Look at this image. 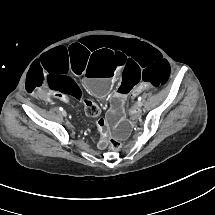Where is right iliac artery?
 <instances>
[{
  "mask_svg": "<svg viewBox=\"0 0 215 215\" xmlns=\"http://www.w3.org/2000/svg\"><path fill=\"white\" fill-rule=\"evenodd\" d=\"M59 110H60V111H63V108H62V107H60V108H59Z\"/></svg>",
  "mask_w": 215,
  "mask_h": 215,
  "instance_id": "obj_1",
  "label": "right iliac artery"
}]
</instances>
